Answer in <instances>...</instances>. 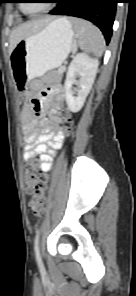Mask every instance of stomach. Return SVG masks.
Returning a JSON list of instances; mask_svg holds the SVG:
<instances>
[{"label": "stomach", "instance_id": "stomach-1", "mask_svg": "<svg viewBox=\"0 0 136 296\" xmlns=\"http://www.w3.org/2000/svg\"><path fill=\"white\" fill-rule=\"evenodd\" d=\"M73 36L72 24L60 17L19 41L10 55L17 90H28L25 82L58 68L71 51Z\"/></svg>", "mask_w": 136, "mask_h": 296}]
</instances>
